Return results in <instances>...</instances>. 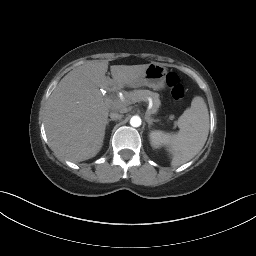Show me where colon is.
<instances>
[{
	"mask_svg": "<svg viewBox=\"0 0 256 256\" xmlns=\"http://www.w3.org/2000/svg\"><path fill=\"white\" fill-rule=\"evenodd\" d=\"M166 84L170 89L171 96L173 99L180 101L184 97L185 91L184 87L180 82L179 76L174 73L170 72L166 76Z\"/></svg>",
	"mask_w": 256,
	"mask_h": 256,
	"instance_id": "colon-1",
	"label": "colon"
}]
</instances>
